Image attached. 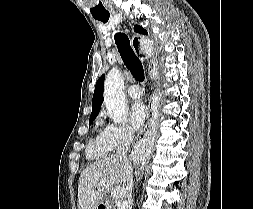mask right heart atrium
<instances>
[{"mask_svg":"<svg viewBox=\"0 0 253 209\" xmlns=\"http://www.w3.org/2000/svg\"><path fill=\"white\" fill-rule=\"evenodd\" d=\"M104 143L111 149L123 144H129L133 140L132 131L123 124H106L101 131Z\"/></svg>","mask_w":253,"mask_h":209,"instance_id":"obj_1","label":"right heart atrium"}]
</instances>
